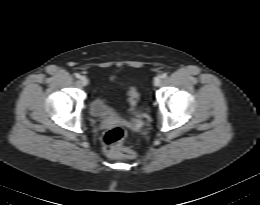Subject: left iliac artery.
I'll return each mask as SVG.
<instances>
[{"mask_svg": "<svg viewBox=\"0 0 260 205\" xmlns=\"http://www.w3.org/2000/svg\"><path fill=\"white\" fill-rule=\"evenodd\" d=\"M161 77H162V78H166V77H167V74H166V73H163V74L161 75Z\"/></svg>", "mask_w": 260, "mask_h": 205, "instance_id": "left-iliac-artery-1", "label": "left iliac artery"}]
</instances>
